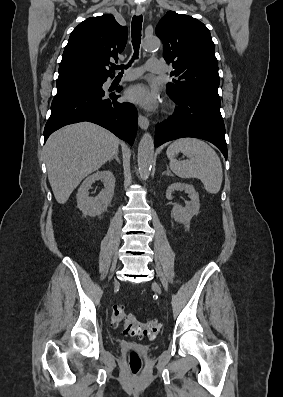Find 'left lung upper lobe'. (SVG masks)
I'll return each instance as SVG.
<instances>
[{
	"label": "left lung upper lobe",
	"instance_id": "5c2ea615",
	"mask_svg": "<svg viewBox=\"0 0 283 397\" xmlns=\"http://www.w3.org/2000/svg\"><path fill=\"white\" fill-rule=\"evenodd\" d=\"M156 35L163 42L165 61L174 68L171 74L179 78L167 84V93L220 102L218 61L209 29L191 16L169 11L159 21Z\"/></svg>",
	"mask_w": 283,
	"mask_h": 397
}]
</instances>
